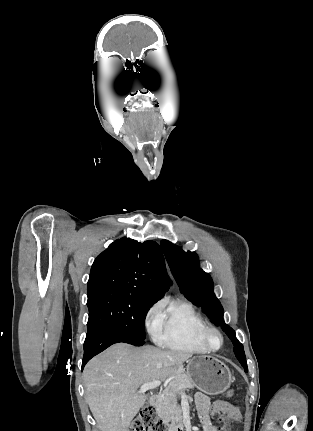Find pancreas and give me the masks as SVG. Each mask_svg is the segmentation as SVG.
<instances>
[{
  "label": "pancreas",
  "mask_w": 313,
  "mask_h": 431,
  "mask_svg": "<svg viewBox=\"0 0 313 431\" xmlns=\"http://www.w3.org/2000/svg\"><path fill=\"white\" fill-rule=\"evenodd\" d=\"M180 385L184 387L180 388ZM194 387L195 383L193 380L186 374L181 373L175 376L174 380L156 399V412L163 418L172 431L178 426H182V409L178 404V398L185 390L193 389Z\"/></svg>",
  "instance_id": "obj_1"
}]
</instances>
